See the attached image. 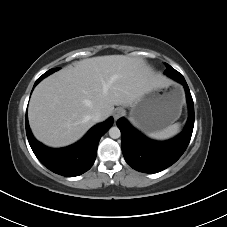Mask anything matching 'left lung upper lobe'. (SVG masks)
<instances>
[{"mask_svg":"<svg viewBox=\"0 0 227 227\" xmlns=\"http://www.w3.org/2000/svg\"><path fill=\"white\" fill-rule=\"evenodd\" d=\"M166 70H165V73L168 75V76H172L171 73H174V74H180L178 71H176L174 68H172L169 64H166Z\"/></svg>","mask_w":227,"mask_h":227,"instance_id":"left-lung-upper-lobe-1","label":"left lung upper lobe"}]
</instances>
